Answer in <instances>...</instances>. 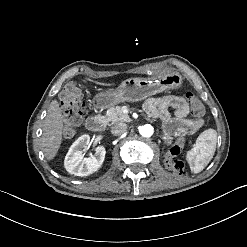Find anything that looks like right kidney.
<instances>
[{"label": "right kidney", "mask_w": 247, "mask_h": 247, "mask_svg": "<svg viewBox=\"0 0 247 247\" xmlns=\"http://www.w3.org/2000/svg\"><path fill=\"white\" fill-rule=\"evenodd\" d=\"M90 136L84 134L80 136L70 147L65 156V169L76 176H88L97 171L105 159V148L98 146L94 155L88 158L83 157V151L89 147Z\"/></svg>", "instance_id": "1"}]
</instances>
